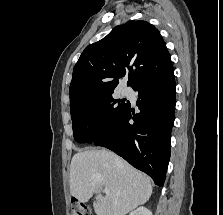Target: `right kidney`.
<instances>
[{"label":"right kidney","mask_w":223,"mask_h":215,"mask_svg":"<svg viewBox=\"0 0 223 215\" xmlns=\"http://www.w3.org/2000/svg\"><path fill=\"white\" fill-rule=\"evenodd\" d=\"M129 215H153V213L152 211H150V209H147V207H143V205H140V207H137V209L131 211Z\"/></svg>","instance_id":"obj_1"}]
</instances>
